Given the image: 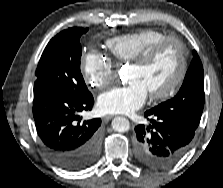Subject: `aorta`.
Here are the masks:
<instances>
[{"mask_svg": "<svg viewBox=\"0 0 223 188\" xmlns=\"http://www.w3.org/2000/svg\"><path fill=\"white\" fill-rule=\"evenodd\" d=\"M112 128L117 132H126L130 128L129 120L124 117H116L112 121Z\"/></svg>", "mask_w": 223, "mask_h": 188, "instance_id": "1", "label": "aorta"}]
</instances>
